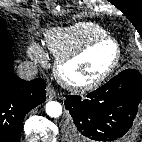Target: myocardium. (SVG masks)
<instances>
[{"instance_id":"myocardium-1","label":"myocardium","mask_w":142,"mask_h":142,"mask_svg":"<svg viewBox=\"0 0 142 142\" xmlns=\"http://www.w3.org/2000/svg\"><path fill=\"white\" fill-rule=\"evenodd\" d=\"M106 42H109L114 47V57L111 63L106 67V69L102 71L98 76L89 81L79 82L72 79L66 73V68L68 65L85 56L93 48ZM121 53V47L115 39L107 35L102 36L89 41L88 43L70 53L58 57L55 63L54 72L60 83L66 88L75 92H88L98 88L113 74L120 63Z\"/></svg>"}]
</instances>
